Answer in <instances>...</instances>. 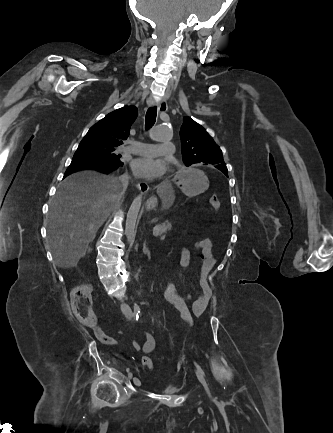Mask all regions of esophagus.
<instances>
[{
    "label": "esophagus",
    "mask_w": 333,
    "mask_h": 433,
    "mask_svg": "<svg viewBox=\"0 0 333 433\" xmlns=\"http://www.w3.org/2000/svg\"><path fill=\"white\" fill-rule=\"evenodd\" d=\"M167 103L165 101H160L158 105V113L161 115L167 111ZM137 187L142 194H145L149 190V185L145 181H139Z\"/></svg>",
    "instance_id": "esophagus-1"
}]
</instances>
